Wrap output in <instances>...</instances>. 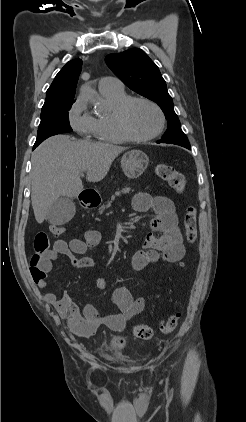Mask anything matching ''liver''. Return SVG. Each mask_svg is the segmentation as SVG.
Listing matches in <instances>:
<instances>
[{
    "label": "liver",
    "instance_id": "liver-1",
    "mask_svg": "<svg viewBox=\"0 0 246 422\" xmlns=\"http://www.w3.org/2000/svg\"><path fill=\"white\" fill-rule=\"evenodd\" d=\"M126 148L74 140L57 135L45 140L32 154L31 203L38 223L61 196L76 197L83 189L80 173L89 182L105 178L114 159Z\"/></svg>",
    "mask_w": 246,
    "mask_h": 422
}]
</instances>
